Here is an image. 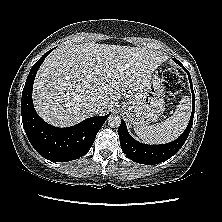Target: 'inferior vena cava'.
Here are the masks:
<instances>
[{
	"label": "inferior vena cava",
	"instance_id": "602c4592",
	"mask_svg": "<svg viewBox=\"0 0 222 222\" xmlns=\"http://www.w3.org/2000/svg\"><path fill=\"white\" fill-rule=\"evenodd\" d=\"M86 106L90 109V111L97 113L100 109L101 103L96 100H91L90 102L86 103Z\"/></svg>",
	"mask_w": 222,
	"mask_h": 222
}]
</instances>
